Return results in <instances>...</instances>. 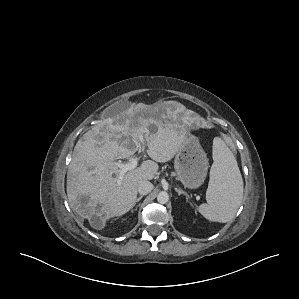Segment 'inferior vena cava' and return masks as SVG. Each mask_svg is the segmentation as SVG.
<instances>
[{"mask_svg": "<svg viewBox=\"0 0 299 299\" xmlns=\"http://www.w3.org/2000/svg\"><path fill=\"white\" fill-rule=\"evenodd\" d=\"M154 186L151 182L147 180H141L138 182V192L141 195H146L153 190Z\"/></svg>", "mask_w": 299, "mask_h": 299, "instance_id": "1", "label": "inferior vena cava"}]
</instances>
